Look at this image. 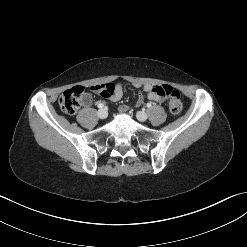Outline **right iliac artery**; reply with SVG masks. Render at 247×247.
I'll return each instance as SVG.
<instances>
[{"label":"right iliac artery","instance_id":"obj_1","mask_svg":"<svg viewBox=\"0 0 247 247\" xmlns=\"http://www.w3.org/2000/svg\"><path fill=\"white\" fill-rule=\"evenodd\" d=\"M104 107V104L103 103H99L98 104V108L102 109Z\"/></svg>","mask_w":247,"mask_h":247}]
</instances>
